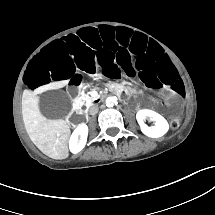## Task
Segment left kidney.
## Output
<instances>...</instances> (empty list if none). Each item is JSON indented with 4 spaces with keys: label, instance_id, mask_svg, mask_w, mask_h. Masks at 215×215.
I'll return each mask as SVG.
<instances>
[{
    "label": "left kidney",
    "instance_id": "1",
    "mask_svg": "<svg viewBox=\"0 0 215 215\" xmlns=\"http://www.w3.org/2000/svg\"><path fill=\"white\" fill-rule=\"evenodd\" d=\"M137 122L141 128V131L149 137H161L168 131V123L164 117L155 111L149 109H143L136 114ZM149 119L155 123L154 126L149 127L145 124V120Z\"/></svg>",
    "mask_w": 215,
    "mask_h": 215
}]
</instances>
